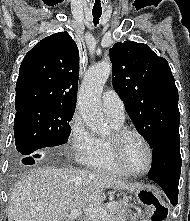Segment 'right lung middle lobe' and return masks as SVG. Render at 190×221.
I'll use <instances>...</instances> for the list:
<instances>
[{
  "instance_id": "dd1d6c3e",
  "label": "right lung middle lobe",
  "mask_w": 190,
  "mask_h": 221,
  "mask_svg": "<svg viewBox=\"0 0 190 221\" xmlns=\"http://www.w3.org/2000/svg\"><path fill=\"white\" fill-rule=\"evenodd\" d=\"M73 114V108L58 106H35L17 112L14 120L17 151L27 156L66 143Z\"/></svg>"
}]
</instances>
